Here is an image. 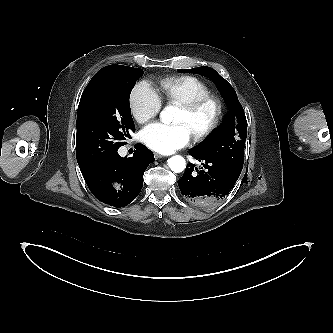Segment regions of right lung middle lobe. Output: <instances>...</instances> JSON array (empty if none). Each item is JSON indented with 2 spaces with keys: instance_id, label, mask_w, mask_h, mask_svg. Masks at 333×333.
Segmentation results:
<instances>
[{
  "instance_id": "dd1d6c3e",
  "label": "right lung middle lobe",
  "mask_w": 333,
  "mask_h": 333,
  "mask_svg": "<svg viewBox=\"0 0 333 333\" xmlns=\"http://www.w3.org/2000/svg\"><path fill=\"white\" fill-rule=\"evenodd\" d=\"M144 71L123 65L99 70L85 88L77 112L76 158L88 168L118 151L135 131L129 97Z\"/></svg>"
}]
</instances>
